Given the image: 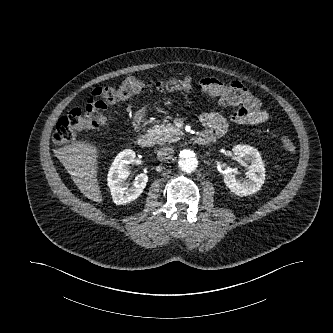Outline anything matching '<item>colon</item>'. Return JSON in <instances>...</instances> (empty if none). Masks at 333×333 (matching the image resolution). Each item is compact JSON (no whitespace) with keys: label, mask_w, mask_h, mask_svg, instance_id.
<instances>
[{"label":"colon","mask_w":333,"mask_h":333,"mask_svg":"<svg viewBox=\"0 0 333 333\" xmlns=\"http://www.w3.org/2000/svg\"><path fill=\"white\" fill-rule=\"evenodd\" d=\"M189 77L183 79L144 80L139 77H128L118 87L99 86L92 92L83 108H75L66 116L60 118L55 126L52 139L57 148L73 141L78 130L99 126L100 117L109 104L128 100L147 88L161 91H181L191 88ZM283 150L289 154L296 152V146L291 138L283 136L280 139Z\"/></svg>","instance_id":"5ec220e1"}]
</instances>
